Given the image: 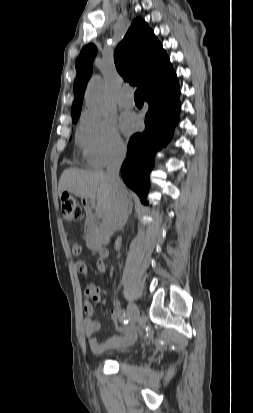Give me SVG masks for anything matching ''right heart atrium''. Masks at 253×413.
Segmentation results:
<instances>
[{"mask_svg": "<svg viewBox=\"0 0 253 413\" xmlns=\"http://www.w3.org/2000/svg\"><path fill=\"white\" fill-rule=\"evenodd\" d=\"M77 140L86 163L92 168H103L125 152L115 120L88 111L82 116Z\"/></svg>", "mask_w": 253, "mask_h": 413, "instance_id": "1", "label": "right heart atrium"}]
</instances>
